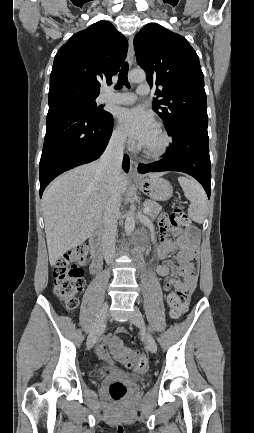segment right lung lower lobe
Listing matches in <instances>:
<instances>
[{"instance_id": "1", "label": "right lung lower lobe", "mask_w": 254, "mask_h": 433, "mask_svg": "<svg viewBox=\"0 0 254 433\" xmlns=\"http://www.w3.org/2000/svg\"><path fill=\"white\" fill-rule=\"evenodd\" d=\"M113 129L110 113L93 116L85 109L65 104L49 105L44 146L39 164L40 198L46 186L61 173L98 159ZM123 169L129 171L128 156Z\"/></svg>"}]
</instances>
